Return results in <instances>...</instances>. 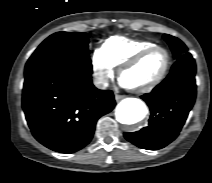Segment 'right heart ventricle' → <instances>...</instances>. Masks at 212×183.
<instances>
[{
    "label": "right heart ventricle",
    "instance_id": "right-heart-ventricle-1",
    "mask_svg": "<svg viewBox=\"0 0 212 183\" xmlns=\"http://www.w3.org/2000/svg\"><path fill=\"white\" fill-rule=\"evenodd\" d=\"M152 45H156V43L149 40H134L115 36L107 39L102 48L114 66H121L133 55Z\"/></svg>",
    "mask_w": 212,
    "mask_h": 183
}]
</instances>
